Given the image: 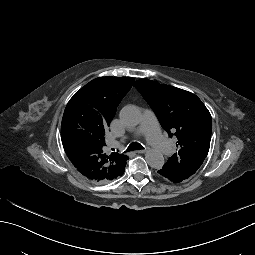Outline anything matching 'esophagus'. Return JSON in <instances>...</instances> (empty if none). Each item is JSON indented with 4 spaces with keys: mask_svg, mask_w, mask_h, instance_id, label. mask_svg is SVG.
<instances>
[{
    "mask_svg": "<svg viewBox=\"0 0 255 255\" xmlns=\"http://www.w3.org/2000/svg\"><path fill=\"white\" fill-rule=\"evenodd\" d=\"M135 152H136V153H139V154H142V153H145L146 150H145V149H144V150H136Z\"/></svg>",
    "mask_w": 255,
    "mask_h": 255,
    "instance_id": "34e87169",
    "label": "esophagus"
}]
</instances>
